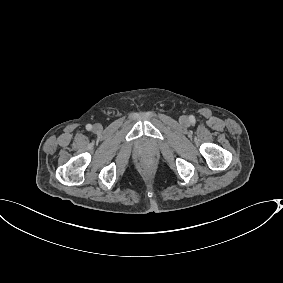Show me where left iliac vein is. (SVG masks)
Here are the masks:
<instances>
[{
  "mask_svg": "<svg viewBox=\"0 0 283 283\" xmlns=\"http://www.w3.org/2000/svg\"><path fill=\"white\" fill-rule=\"evenodd\" d=\"M187 120H188V119H187V117H186V116H182V117H181V122H182V123H186V122H187Z\"/></svg>",
  "mask_w": 283,
  "mask_h": 283,
  "instance_id": "left-iliac-vein-1",
  "label": "left iliac vein"
}]
</instances>
